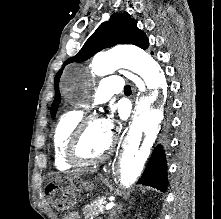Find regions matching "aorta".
Masks as SVG:
<instances>
[{
    "label": "aorta",
    "instance_id": "762f6f07",
    "mask_svg": "<svg viewBox=\"0 0 221 219\" xmlns=\"http://www.w3.org/2000/svg\"><path fill=\"white\" fill-rule=\"evenodd\" d=\"M117 68H124L137 74L147 88L140 98L137 112L114 167L119 186L129 188L140 176L157 137L158 128L165 117L166 80L157 61L144 50L134 46H123L97 54L91 63L92 72L100 76L108 75ZM76 73L73 68L64 72L65 86ZM143 135L145 138L139 147Z\"/></svg>",
    "mask_w": 221,
    "mask_h": 219
}]
</instances>
